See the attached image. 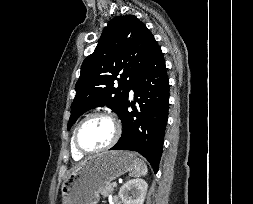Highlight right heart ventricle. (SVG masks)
<instances>
[{
    "instance_id": "e07e8e85",
    "label": "right heart ventricle",
    "mask_w": 253,
    "mask_h": 204,
    "mask_svg": "<svg viewBox=\"0 0 253 204\" xmlns=\"http://www.w3.org/2000/svg\"><path fill=\"white\" fill-rule=\"evenodd\" d=\"M71 153H72V157L74 160H80L83 155L79 154L76 149L74 148V145H73V137L71 139Z\"/></svg>"
}]
</instances>
